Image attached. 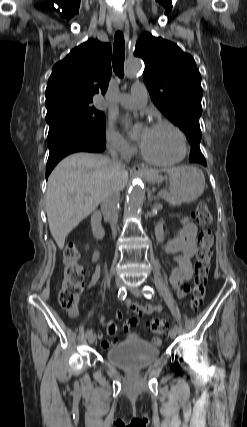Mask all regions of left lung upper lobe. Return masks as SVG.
I'll return each instance as SVG.
<instances>
[{
	"label": "left lung upper lobe",
	"instance_id": "1",
	"mask_svg": "<svg viewBox=\"0 0 247 427\" xmlns=\"http://www.w3.org/2000/svg\"><path fill=\"white\" fill-rule=\"evenodd\" d=\"M134 55L145 62L143 79L158 109L186 134L192 147H199L202 113L201 75L190 54L176 44L144 33Z\"/></svg>",
	"mask_w": 247,
	"mask_h": 427
}]
</instances>
